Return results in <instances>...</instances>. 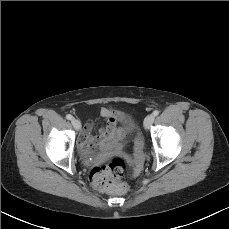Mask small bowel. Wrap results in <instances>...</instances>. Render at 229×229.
<instances>
[{
	"label": "small bowel",
	"instance_id": "c3829d8e",
	"mask_svg": "<svg viewBox=\"0 0 229 229\" xmlns=\"http://www.w3.org/2000/svg\"><path fill=\"white\" fill-rule=\"evenodd\" d=\"M100 114L105 119L106 126L100 129L98 135L95 136L93 135V125L88 123L78 140V148L83 155L88 154L95 143H99L104 150L120 151L122 148L123 132L118 129L117 121L126 120L125 115L105 107L101 109Z\"/></svg>",
	"mask_w": 229,
	"mask_h": 229
}]
</instances>
